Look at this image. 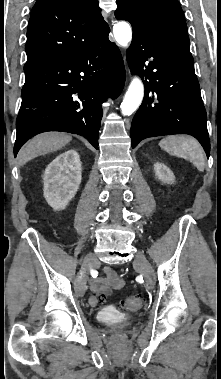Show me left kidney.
Wrapping results in <instances>:
<instances>
[{"instance_id": "obj_1", "label": "left kidney", "mask_w": 221, "mask_h": 379, "mask_svg": "<svg viewBox=\"0 0 221 379\" xmlns=\"http://www.w3.org/2000/svg\"><path fill=\"white\" fill-rule=\"evenodd\" d=\"M154 171L158 179L164 183L172 184L175 182V176L173 172L163 163H155Z\"/></svg>"}]
</instances>
